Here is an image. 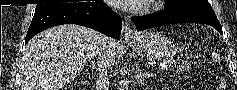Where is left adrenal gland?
I'll use <instances>...</instances> for the list:
<instances>
[{
    "label": "left adrenal gland",
    "instance_id": "a2214340",
    "mask_svg": "<svg viewBox=\"0 0 237 90\" xmlns=\"http://www.w3.org/2000/svg\"><path fill=\"white\" fill-rule=\"evenodd\" d=\"M144 78H146V74H142L141 70H137L136 80L139 84H143Z\"/></svg>",
    "mask_w": 237,
    "mask_h": 90
}]
</instances>
